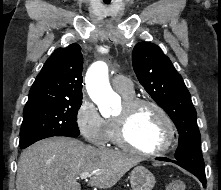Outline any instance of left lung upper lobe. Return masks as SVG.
I'll list each match as a JSON object with an SVG mask.
<instances>
[{
	"instance_id": "obj_1",
	"label": "left lung upper lobe",
	"mask_w": 221,
	"mask_h": 190,
	"mask_svg": "<svg viewBox=\"0 0 221 190\" xmlns=\"http://www.w3.org/2000/svg\"><path fill=\"white\" fill-rule=\"evenodd\" d=\"M132 63L140 84L168 113L178 129L176 160L194 171L205 173L196 110L181 75L162 50L149 42L135 45Z\"/></svg>"
}]
</instances>
